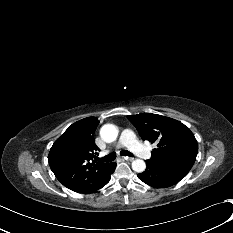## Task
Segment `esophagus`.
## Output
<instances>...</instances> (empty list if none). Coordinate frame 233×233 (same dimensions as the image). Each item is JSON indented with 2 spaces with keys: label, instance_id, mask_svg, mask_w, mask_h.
Instances as JSON below:
<instances>
[{
  "label": "esophagus",
  "instance_id": "esophagus-1",
  "mask_svg": "<svg viewBox=\"0 0 233 233\" xmlns=\"http://www.w3.org/2000/svg\"><path fill=\"white\" fill-rule=\"evenodd\" d=\"M125 160L132 162L134 160L133 157H124Z\"/></svg>",
  "mask_w": 233,
  "mask_h": 233
}]
</instances>
